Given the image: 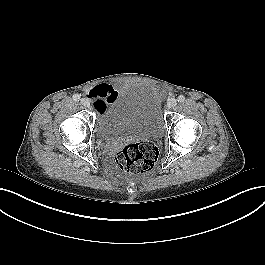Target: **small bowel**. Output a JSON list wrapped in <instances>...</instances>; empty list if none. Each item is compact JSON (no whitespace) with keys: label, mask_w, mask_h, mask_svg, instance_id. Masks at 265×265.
Wrapping results in <instances>:
<instances>
[{"label":"small bowel","mask_w":265,"mask_h":265,"mask_svg":"<svg viewBox=\"0 0 265 265\" xmlns=\"http://www.w3.org/2000/svg\"><path fill=\"white\" fill-rule=\"evenodd\" d=\"M118 93L117 87L113 84H100L88 90V96L93 100L96 111H102L108 102Z\"/></svg>","instance_id":"1"}]
</instances>
